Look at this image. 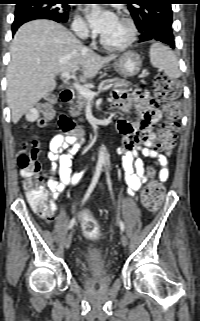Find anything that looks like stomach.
Instances as JSON below:
<instances>
[{"label": "stomach", "instance_id": "0dacf381", "mask_svg": "<svg viewBox=\"0 0 200 321\" xmlns=\"http://www.w3.org/2000/svg\"><path fill=\"white\" fill-rule=\"evenodd\" d=\"M141 66L142 59L135 51L125 52L113 63L114 70L125 78L135 76Z\"/></svg>", "mask_w": 200, "mask_h": 321}]
</instances>
